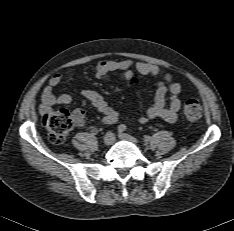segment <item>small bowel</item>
Masks as SVG:
<instances>
[{"mask_svg":"<svg viewBox=\"0 0 234 231\" xmlns=\"http://www.w3.org/2000/svg\"><path fill=\"white\" fill-rule=\"evenodd\" d=\"M95 75L99 79H108L114 72H119L124 80H129L134 71L141 75L153 76L158 79V86L155 92L153 104L139 118L143 124L154 119H163L167 122L174 123L178 120V112L181 108L182 101L180 93L182 84L174 81L169 73L164 72L159 66L147 63H133L130 60L115 61V60H100L94 66ZM62 75L55 73L45 86L41 96L40 110L42 113L50 111L55 104L68 105L72 102V97L69 94H55V89L61 84ZM82 96L88 100L102 115L103 119L112 121L118 118V112L109 105L106 99L96 90L86 89L82 91ZM169 96L168 103L166 98ZM74 119L78 126H82L85 119V113L81 109L74 111Z\"/></svg>","mask_w":234,"mask_h":231,"instance_id":"obj_1","label":"small bowel"}]
</instances>
